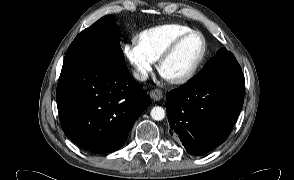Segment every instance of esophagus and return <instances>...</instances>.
<instances>
[{
	"mask_svg": "<svg viewBox=\"0 0 294 180\" xmlns=\"http://www.w3.org/2000/svg\"><path fill=\"white\" fill-rule=\"evenodd\" d=\"M150 97L154 101H159L163 97V93L160 89H154L150 92Z\"/></svg>",
	"mask_w": 294,
	"mask_h": 180,
	"instance_id": "esophagus-1",
	"label": "esophagus"
}]
</instances>
